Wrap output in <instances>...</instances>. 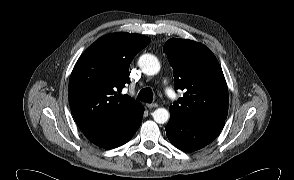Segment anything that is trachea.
<instances>
[{"mask_svg": "<svg viewBox=\"0 0 294 180\" xmlns=\"http://www.w3.org/2000/svg\"><path fill=\"white\" fill-rule=\"evenodd\" d=\"M137 99L140 100V101H144V102H147V103H152L153 101V92H152V89L151 88H144L142 89L138 96H137Z\"/></svg>", "mask_w": 294, "mask_h": 180, "instance_id": "obj_1", "label": "trachea"}]
</instances>
